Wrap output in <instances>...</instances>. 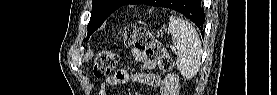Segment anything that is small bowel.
Segmentation results:
<instances>
[{
    "instance_id": "c3829d8e",
    "label": "small bowel",
    "mask_w": 277,
    "mask_h": 95,
    "mask_svg": "<svg viewBox=\"0 0 277 95\" xmlns=\"http://www.w3.org/2000/svg\"><path fill=\"white\" fill-rule=\"evenodd\" d=\"M132 57L140 62L144 68V72L134 75V80L142 82L147 85H155L158 80V76L154 73L156 68V62L149 57L146 53L138 50H131ZM128 73L124 69L117 70L113 75L106 78V82L102 83L99 88V94L108 95L107 85H118L126 82ZM161 95H176L177 89V77L165 76L161 82Z\"/></svg>"
}]
</instances>
